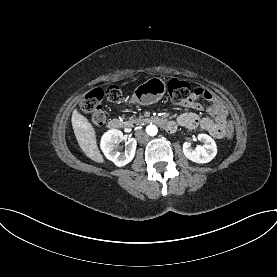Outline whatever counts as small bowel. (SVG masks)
Masks as SVG:
<instances>
[{"label":"small bowel","mask_w":277,"mask_h":277,"mask_svg":"<svg viewBox=\"0 0 277 277\" xmlns=\"http://www.w3.org/2000/svg\"><path fill=\"white\" fill-rule=\"evenodd\" d=\"M200 97L210 102V105L206 110L212 118H199L197 114L193 112H185L179 115L174 122L177 126H183L188 129L200 127L217 139L225 138L227 123L229 122L228 111L223 102L214 93L207 89L197 88L195 89L194 97L183 103L182 106L188 109L200 111L203 109V106L196 101Z\"/></svg>","instance_id":"c3829d8e"}]
</instances>
